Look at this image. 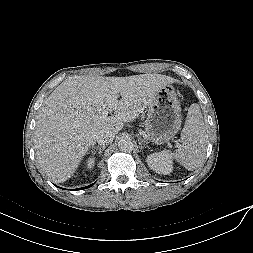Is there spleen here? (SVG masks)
<instances>
[{
  "instance_id": "obj_1",
  "label": "spleen",
  "mask_w": 253,
  "mask_h": 253,
  "mask_svg": "<svg viewBox=\"0 0 253 253\" xmlns=\"http://www.w3.org/2000/svg\"><path fill=\"white\" fill-rule=\"evenodd\" d=\"M174 158L187 170H193L203 164L207 148L206 127L198 104L189 108Z\"/></svg>"
}]
</instances>
